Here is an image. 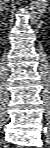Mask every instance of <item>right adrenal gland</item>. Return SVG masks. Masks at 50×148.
Masks as SVG:
<instances>
[{"mask_svg": "<svg viewBox=\"0 0 50 148\" xmlns=\"http://www.w3.org/2000/svg\"><path fill=\"white\" fill-rule=\"evenodd\" d=\"M2 11H5L6 13H8V8H7V6H4L3 8H1V12Z\"/></svg>", "mask_w": 50, "mask_h": 148, "instance_id": "right-adrenal-gland-1", "label": "right adrenal gland"}]
</instances>
